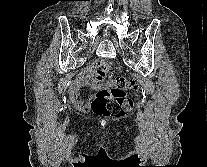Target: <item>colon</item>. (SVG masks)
<instances>
[{
	"mask_svg": "<svg viewBox=\"0 0 207 167\" xmlns=\"http://www.w3.org/2000/svg\"><path fill=\"white\" fill-rule=\"evenodd\" d=\"M93 76L102 89L92 101V110L98 115L122 117L132 107L127 91L137 87L132 80L116 76L109 62H100L93 66Z\"/></svg>",
	"mask_w": 207,
	"mask_h": 167,
	"instance_id": "obj_1",
	"label": "colon"
}]
</instances>
